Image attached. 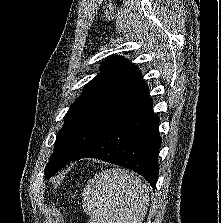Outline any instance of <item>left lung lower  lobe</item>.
<instances>
[{"label": "left lung lower lobe", "instance_id": "1", "mask_svg": "<svg viewBox=\"0 0 221 223\" xmlns=\"http://www.w3.org/2000/svg\"><path fill=\"white\" fill-rule=\"evenodd\" d=\"M158 125L159 117L146 94L73 160L97 158L123 166L145 177L155 188L161 146Z\"/></svg>", "mask_w": 221, "mask_h": 223}]
</instances>
